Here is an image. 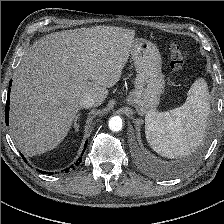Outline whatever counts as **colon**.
<instances>
[{
    "mask_svg": "<svg viewBox=\"0 0 224 224\" xmlns=\"http://www.w3.org/2000/svg\"><path fill=\"white\" fill-rule=\"evenodd\" d=\"M170 50V67L175 72H180L188 62V52L185 47L178 44H172Z\"/></svg>",
    "mask_w": 224,
    "mask_h": 224,
    "instance_id": "colon-1",
    "label": "colon"
}]
</instances>
